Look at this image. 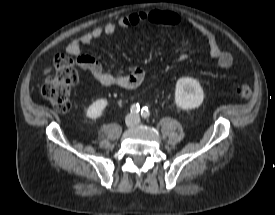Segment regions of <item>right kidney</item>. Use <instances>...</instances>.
I'll return each mask as SVG.
<instances>
[{
  "instance_id": "1",
  "label": "right kidney",
  "mask_w": 275,
  "mask_h": 215,
  "mask_svg": "<svg viewBox=\"0 0 275 215\" xmlns=\"http://www.w3.org/2000/svg\"><path fill=\"white\" fill-rule=\"evenodd\" d=\"M107 105H108V101L106 99L96 100L87 108L86 116L91 119H96L100 117Z\"/></svg>"
}]
</instances>
